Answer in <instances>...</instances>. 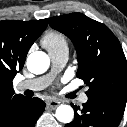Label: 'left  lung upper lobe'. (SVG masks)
I'll use <instances>...</instances> for the list:
<instances>
[{
	"instance_id": "1",
	"label": "left lung upper lobe",
	"mask_w": 127,
	"mask_h": 127,
	"mask_svg": "<svg viewBox=\"0 0 127 127\" xmlns=\"http://www.w3.org/2000/svg\"><path fill=\"white\" fill-rule=\"evenodd\" d=\"M49 24L74 43L78 54L77 77L89 87L88 99L126 105L127 61L109 28L81 13L52 17Z\"/></svg>"
}]
</instances>
